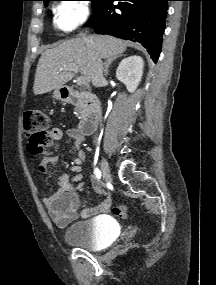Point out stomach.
<instances>
[{
	"instance_id": "1",
	"label": "stomach",
	"mask_w": 216,
	"mask_h": 285,
	"mask_svg": "<svg viewBox=\"0 0 216 285\" xmlns=\"http://www.w3.org/2000/svg\"><path fill=\"white\" fill-rule=\"evenodd\" d=\"M53 97L56 99V100H64V96L61 94V89H57L54 91L53 93Z\"/></svg>"
}]
</instances>
